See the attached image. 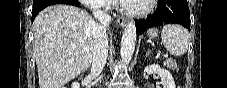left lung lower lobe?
Masks as SVG:
<instances>
[{
  "instance_id": "obj_1",
  "label": "left lung lower lobe",
  "mask_w": 227,
  "mask_h": 88,
  "mask_svg": "<svg viewBox=\"0 0 227 88\" xmlns=\"http://www.w3.org/2000/svg\"><path fill=\"white\" fill-rule=\"evenodd\" d=\"M177 23L190 31V11L187 0H160L157 10L146 20L135 21L137 35L155 25Z\"/></svg>"
}]
</instances>
